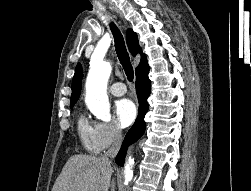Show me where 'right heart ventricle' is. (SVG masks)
<instances>
[{
    "instance_id": "e07e8e85",
    "label": "right heart ventricle",
    "mask_w": 251,
    "mask_h": 191,
    "mask_svg": "<svg viewBox=\"0 0 251 191\" xmlns=\"http://www.w3.org/2000/svg\"><path fill=\"white\" fill-rule=\"evenodd\" d=\"M77 131L84 149L91 153H97L99 150L95 142V125L93 126L85 116L81 115L78 118Z\"/></svg>"
}]
</instances>
